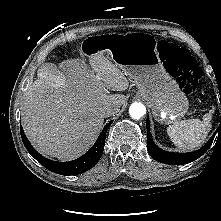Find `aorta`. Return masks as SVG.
Wrapping results in <instances>:
<instances>
[{
    "instance_id": "762f6f07",
    "label": "aorta",
    "mask_w": 221,
    "mask_h": 221,
    "mask_svg": "<svg viewBox=\"0 0 221 221\" xmlns=\"http://www.w3.org/2000/svg\"><path fill=\"white\" fill-rule=\"evenodd\" d=\"M129 114L133 119H140L146 114V108L142 103H133L130 106Z\"/></svg>"
}]
</instances>
